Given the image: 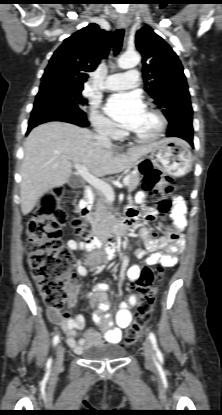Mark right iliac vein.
Wrapping results in <instances>:
<instances>
[{
  "label": "right iliac vein",
  "instance_id": "1",
  "mask_svg": "<svg viewBox=\"0 0 222 415\" xmlns=\"http://www.w3.org/2000/svg\"><path fill=\"white\" fill-rule=\"evenodd\" d=\"M64 359V348L61 344L57 346L56 351V366H60Z\"/></svg>",
  "mask_w": 222,
  "mask_h": 415
}]
</instances>
